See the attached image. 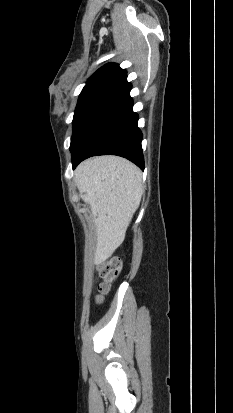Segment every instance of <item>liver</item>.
<instances>
[{"instance_id":"liver-1","label":"liver","mask_w":233,"mask_h":413,"mask_svg":"<svg viewBox=\"0 0 233 413\" xmlns=\"http://www.w3.org/2000/svg\"><path fill=\"white\" fill-rule=\"evenodd\" d=\"M75 180L82 200L90 205L97 228L94 262L101 264L123 242L140 205L141 171L124 158L98 156L77 167Z\"/></svg>"}]
</instances>
